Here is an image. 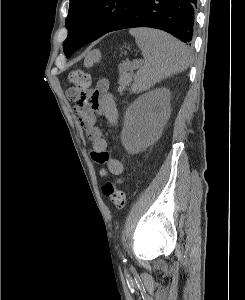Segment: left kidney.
<instances>
[{"label": "left kidney", "mask_w": 245, "mask_h": 300, "mask_svg": "<svg viewBox=\"0 0 245 300\" xmlns=\"http://www.w3.org/2000/svg\"><path fill=\"white\" fill-rule=\"evenodd\" d=\"M169 102L170 93L162 88L143 95L128 107L121 139L129 153H138L159 136L168 118Z\"/></svg>", "instance_id": "5707ae66"}]
</instances>
